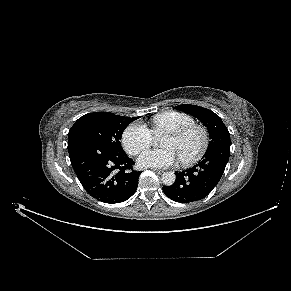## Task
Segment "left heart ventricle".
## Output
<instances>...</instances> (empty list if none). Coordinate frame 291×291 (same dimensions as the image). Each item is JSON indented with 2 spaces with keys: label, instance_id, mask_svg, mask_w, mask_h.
<instances>
[{
  "label": "left heart ventricle",
  "instance_id": "1",
  "mask_svg": "<svg viewBox=\"0 0 291 291\" xmlns=\"http://www.w3.org/2000/svg\"><path fill=\"white\" fill-rule=\"evenodd\" d=\"M201 142V136L198 132L191 133L182 139H176L166 135L162 140V147L172 148L177 153L179 159L187 158L193 155Z\"/></svg>",
  "mask_w": 291,
  "mask_h": 291
}]
</instances>
